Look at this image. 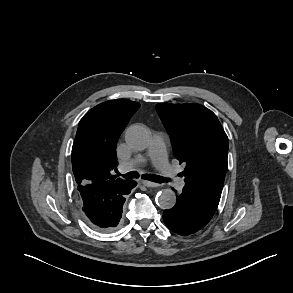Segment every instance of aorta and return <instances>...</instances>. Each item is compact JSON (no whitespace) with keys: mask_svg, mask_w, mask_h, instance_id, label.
<instances>
[{"mask_svg":"<svg viewBox=\"0 0 293 293\" xmlns=\"http://www.w3.org/2000/svg\"><path fill=\"white\" fill-rule=\"evenodd\" d=\"M127 144L136 150L145 149L150 142V134L147 128L141 125H133L126 132ZM156 202L162 209H171L176 204L175 192L165 188L157 193Z\"/></svg>","mask_w":293,"mask_h":293,"instance_id":"762f6f07","label":"aorta"}]
</instances>
